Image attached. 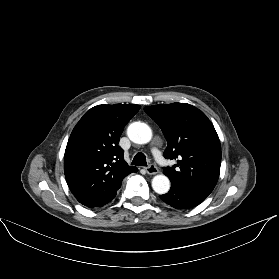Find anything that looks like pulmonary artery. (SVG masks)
<instances>
[{"label": "pulmonary artery", "mask_w": 279, "mask_h": 279, "mask_svg": "<svg viewBox=\"0 0 279 279\" xmlns=\"http://www.w3.org/2000/svg\"><path fill=\"white\" fill-rule=\"evenodd\" d=\"M156 154H157V152H155V155H156ZM157 159H158V161H160V162L162 161V158H161L160 156H159Z\"/></svg>", "instance_id": "pulmonary-artery-1"}]
</instances>
